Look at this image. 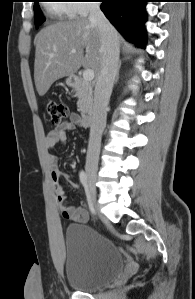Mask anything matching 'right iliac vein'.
<instances>
[{"label":"right iliac vein","mask_w":195,"mask_h":299,"mask_svg":"<svg viewBox=\"0 0 195 299\" xmlns=\"http://www.w3.org/2000/svg\"><path fill=\"white\" fill-rule=\"evenodd\" d=\"M87 183H88V197L92 204L96 205V166L87 165Z\"/></svg>","instance_id":"right-iliac-vein-1"}]
</instances>
